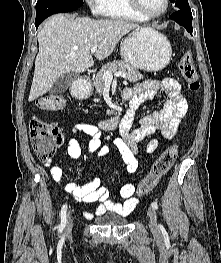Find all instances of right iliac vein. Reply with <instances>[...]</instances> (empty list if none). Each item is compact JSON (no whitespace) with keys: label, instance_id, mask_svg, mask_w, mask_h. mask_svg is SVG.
<instances>
[{"label":"right iliac vein","instance_id":"63e3f726","mask_svg":"<svg viewBox=\"0 0 221 263\" xmlns=\"http://www.w3.org/2000/svg\"><path fill=\"white\" fill-rule=\"evenodd\" d=\"M72 227H73V220H72L71 215L68 214L66 232H70Z\"/></svg>","mask_w":221,"mask_h":263}]
</instances>
